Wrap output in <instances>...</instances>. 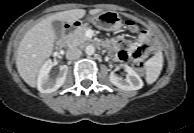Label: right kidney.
<instances>
[{
    "label": "right kidney",
    "instance_id": "right-kidney-1",
    "mask_svg": "<svg viewBox=\"0 0 194 133\" xmlns=\"http://www.w3.org/2000/svg\"><path fill=\"white\" fill-rule=\"evenodd\" d=\"M51 69L52 62L48 60L40 70L37 80V88L41 93H52L58 90L65 82L68 72V67L66 65L60 66L57 75L52 74Z\"/></svg>",
    "mask_w": 194,
    "mask_h": 133
}]
</instances>
